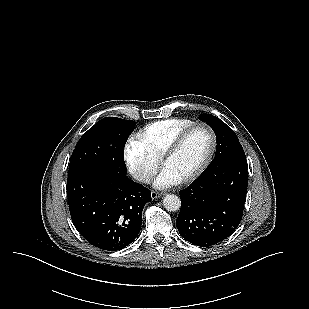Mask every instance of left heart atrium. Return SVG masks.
Returning <instances> with one entry per match:
<instances>
[{
  "label": "left heart atrium",
  "mask_w": 309,
  "mask_h": 309,
  "mask_svg": "<svg viewBox=\"0 0 309 309\" xmlns=\"http://www.w3.org/2000/svg\"><path fill=\"white\" fill-rule=\"evenodd\" d=\"M178 182V177L169 169L164 168L154 180V185L159 189H167L176 185Z\"/></svg>",
  "instance_id": "obj_1"
}]
</instances>
